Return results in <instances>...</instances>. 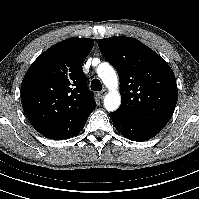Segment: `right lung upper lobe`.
<instances>
[{"instance_id": "right-lung-upper-lobe-1", "label": "right lung upper lobe", "mask_w": 199, "mask_h": 199, "mask_svg": "<svg viewBox=\"0 0 199 199\" xmlns=\"http://www.w3.org/2000/svg\"><path fill=\"white\" fill-rule=\"evenodd\" d=\"M94 40L69 38L46 50L30 66L21 84V103L32 126L61 140L77 135L96 102L82 70Z\"/></svg>"}]
</instances>
